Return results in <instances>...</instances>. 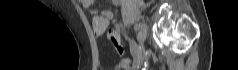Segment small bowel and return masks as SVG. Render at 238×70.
<instances>
[{
    "label": "small bowel",
    "instance_id": "small-bowel-1",
    "mask_svg": "<svg viewBox=\"0 0 238 70\" xmlns=\"http://www.w3.org/2000/svg\"><path fill=\"white\" fill-rule=\"evenodd\" d=\"M118 3L117 0L114 1ZM84 10L92 16L93 29L95 34L101 35L106 31L109 26L110 21L114 18V14L109 11H98L94 8L93 0H80ZM117 29H120V26H116Z\"/></svg>",
    "mask_w": 238,
    "mask_h": 70
}]
</instances>
